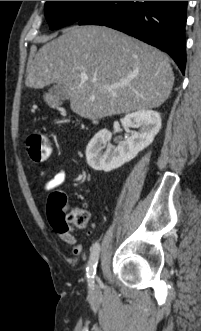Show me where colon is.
Returning a JSON list of instances; mask_svg holds the SVG:
<instances>
[{
  "label": "colon",
  "instance_id": "1",
  "mask_svg": "<svg viewBox=\"0 0 201 331\" xmlns=\"http://www.w3.org/2000/svg\"><path fill=\"white\" fill-rule=\"evenodd\" d=\"M26 150L30 158L37 163L46 161L52 151V145L47 136L41 133H31L25 141ZM65 194L56 191L49 198V208L59 215V220L70 222L78 227H83L89 220V214L86 210L75 209L67 211L64 208Z\"/></svg>",
  "mask_w": 201,
  "mask_h": 331
}]
</instances>
